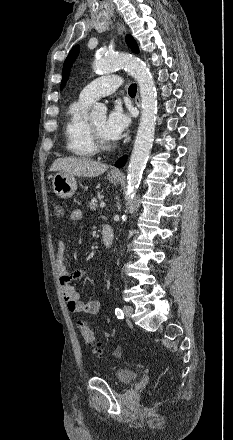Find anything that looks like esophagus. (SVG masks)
Wrapping results in <instances>:
<instances>
[{
    "label": "esophagus",
    "mask_w": 233,
    "mask_h": 440,
    "mask_svg": "<svg viewBox=\"0 0 233 440\" xmlns=\"http://www.w3.org/2000/svg\"><path fill=\"white\" fill-rule=\"evenodd\" d=\"M118 28H119L121 33H123L125 31V27L122 24H118ZM135 103H136L137 107L140 109L141 102H140L139 91H137V95H136V98H135ZM112 172L113 173H117V174L121 173L118 169H113Z\"/></svg>",
    "instance_id": "34e87169"
}]
</instances>
